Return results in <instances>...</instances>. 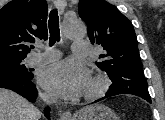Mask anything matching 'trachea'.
<instances>
[{
    "mask_svg": "<svg viewBox=\"0 0 165 120\" xmlns=\"http://www.w3.org/2000/svg\"><path fill=\"white\" fill-rule=\"evenodd\" d=\"M48 26L50 33L49 45L52 46L56 41H60L59 16L56 9L50 12Z\"/></svg>",
    "mask_w": 165,
    "mask_h": 120,
    "instance_id": "obj_1",
    "label": "trachea"
}]
</instances>
